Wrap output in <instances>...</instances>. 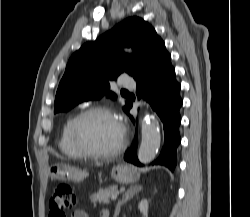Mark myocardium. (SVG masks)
Here are the masks:
<instances>
[{
    "mask_svg": "<svg viewBox=\"0 0 250 217\" xmlns=\"http://www.w3.org/2000/svg\"><path fill=\"white\" fill-rule=\"evenodd\" d=\"M94 113H104L111 117H113L120 126L121 129V138L119 143L111 150L99 152L94 151L89 148H87L79 137V125L82 119H84L86 116L94 114ZM70 137L73 145L76 147V149L83 155V157H89V158H95V159H104V158H111L118 154H120L127 144V135H126V129L117 114L111 109L110 107L106 105H92L89 106L83 110H81L72 120L71 126H70Z\"/></svg>",
    "mask_w": 250,
    "mask_h": 217,
    "instance_id": "1",
    "label": "myocardium"
}]
</instances>
